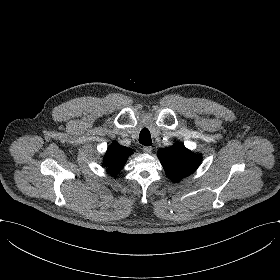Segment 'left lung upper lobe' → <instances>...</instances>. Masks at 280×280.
<instances>
[{"instance_id": "1", "label": "left lung upper lobe", "mask_w": 280, "mask_h": 280, "mask_svg": "<svg viewBox=\"0 0 280 280\" xmlns=\"http://www.w3.org/2000/svg\"><path fill=\"white\" fill-rule=\"evenodd\" d=\"M158 157L167 176L174 182L193 173L202 159L200 155L194 154L180 142L159 149Z\"/></svg>"}]
</instances>
